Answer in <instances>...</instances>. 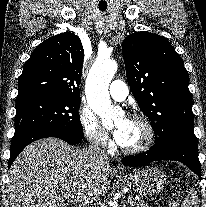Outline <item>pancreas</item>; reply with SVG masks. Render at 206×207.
I'll return each mask as SVG.
<instances>
[{"label": "pancreas", "mask_w": 206, "mask_h": 207, "mask_svg": "<svg viewBox=\"0 0 206 207\" xmlns=\"http://www.w3.org/2000/svg\"><path fill=\"white\" fill-rule=\"evenodd\" d=\"M95 207H102V206H95ZM130 207H149V206L143 202H130Z\"/></svg>", "instance_id": "1"}]
</instances>
